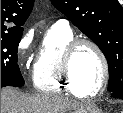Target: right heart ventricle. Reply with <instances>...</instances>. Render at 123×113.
Returning a JSON list of instances; mask_svg holds the SVG:
<instances>
[{"instance_id": "e07e8e85", "label": "right heart ventricle", "mask_w": 123, "mask_h": 113, "mask_svg": "<svg viewBox=\"0 0 123 113\" xmlns=\"http://www.w3.org/2000/svg\"><path fill=\"white\" fill-rule=\"evenodd\" d=\"M74 38L70 28L52 26L47 30L33 66L32 79L36 90L48 94L68 91L82 97L69 87L62 73L65 48Z\"/></svg>"}]
</instances>
